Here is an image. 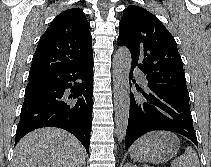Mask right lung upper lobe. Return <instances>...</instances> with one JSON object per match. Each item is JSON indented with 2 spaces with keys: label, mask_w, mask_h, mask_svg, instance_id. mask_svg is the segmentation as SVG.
Wrapping results in <instances>:
<instances>
[{
  "label": "right lung upper lobe",
  "mask_w": 211,
  "mask_h": 167,
  "mask_svg": "<svg viewBox=\"0 0 211 167\" xmlns=\"http://www.w3.org/2000/svg\"><path fill=\"white\" fill-rule=\"evenodd\" d=\"M89 22L80 8L60 13L42 35L32 59L29 80L92 59Z\"/></svg>",
  "instance_id": "right-lung-upper-lobe-1"
}]
</instances>
